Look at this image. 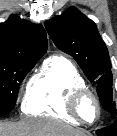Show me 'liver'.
<instances>
[{
	"instance_id": "liver-1",
	"label": "liver",
	"mask_w": 117,
	"mask_h": 136,
	"mask_svg": "<svg viewBox=\"0 0 117 136\" xmlns=\"http://www.w3.org/2000/svg\"><path fill=\"white\" fill-rule=\"evenodd\" d=\"M0 136H90V134L58 121L24 119L16 123H0Z\"/></svg>"
}]
</instances>
